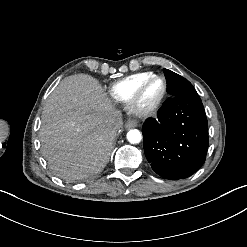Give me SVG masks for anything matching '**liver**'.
<instances>
[{
  "label": "liver",
  "mask_w": 247,
  "mask_h": 247,
  "mask_svg": "<svg viewBox=\"0 0 247 247\" xmlns=\"http://www.w3.org/2000/svg\"><path fill=\"white\" fill-rule=\"evenodd\" d=\"M123 118L98 79L65 78L45 103L39 130L50 169L71 182L98 174L113 150L111 128L122 127Z\"/></svg>",
  "instance_id": "6515ba94"
}]
</instances>
